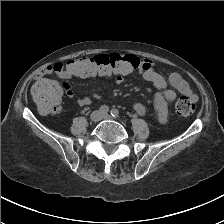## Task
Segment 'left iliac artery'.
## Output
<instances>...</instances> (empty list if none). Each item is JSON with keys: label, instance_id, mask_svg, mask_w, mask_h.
I'll list each match as a JSON object with an SVG mask.
<instances>
[{"label": "left iliac artery", "instance_id": "obj_1", "mask_svg": "<svg viewBox=\"0 0 224 224\" xmlns=\"http://www.w3.org/2000/svg\"><path fill=\"white\" fill-rule=\"evenodd\" d=\"M111 115H112L113 117H118V115H119V111H118L117 109H112V110H111Z\"/></svg>", "mask_w": 224, "mask_h": 224}]
</instances>
